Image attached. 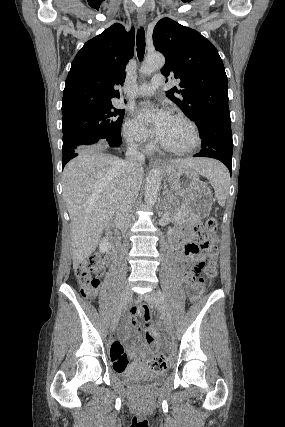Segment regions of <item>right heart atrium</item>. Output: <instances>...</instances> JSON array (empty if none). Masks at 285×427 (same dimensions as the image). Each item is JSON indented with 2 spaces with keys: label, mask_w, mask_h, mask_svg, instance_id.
<instances>
[{
  "label": "right heart atrium",
  "mask_w": 285,
  "mask_h": 427,
  "mask_svg": "<svg viewBox=\"0 0 285 427\" xmlns=\"http://www.w3.org/2000/svg\"><path fill=\"white\" fill-rule=\"evenodd\" d=\"M124 137L134 147L149 148L152 141L147 130L135 119L127 118L123 126Z\"/></svg>",
  "instance_id": "d8ad5b80"
}]
</instances>
